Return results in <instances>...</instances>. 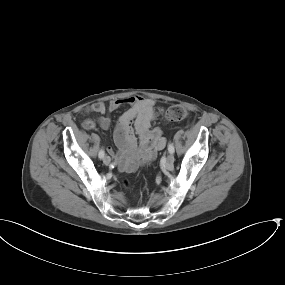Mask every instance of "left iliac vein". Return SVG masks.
<instances>
[{
  "instance_id": "left-iliac-vein-1",
  "label": "left iliac vein",
  "mask_w": 285,
  "mask_h": 285,
  "mask_svg": "<svg viewBox=\"0 0 285 285\" xmlns=\"http://www.w3.org/2000/svg\"><path fill=\"white\" fill-rule=\"evenodd\" d=\"M174 160L175 159H174L173 153H169L167 155L166 162H165L166 167L170 168L173 165Z\"/></svg>"
}]
</instances>
